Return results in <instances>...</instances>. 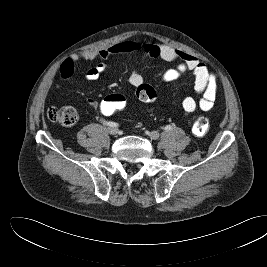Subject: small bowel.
Instances as JSON below:
<instances>
[{
  "mask_svg": "<svg viewBox=\"0 0 267 267\" xmlns=\"http://www.w3.org/2000/svg\"><path fill=\"white\" fill-rule=\"evenodd\" d=\"M144 55L151 58H161L168 62L178 61L175 68L167 69L162 74V80L170 83L178 80L183 74L191 72L194 75V92L200 98L197 101L194 97H185L182 101V108L185 115H190L197 108L206 112L213 108L217 96V76L210 71L205 64L201 63L194 56L174 49L163 43H141L138 41L126 40L114 44L102 50L84 51L74 54L63 61L59 68L62 80L71 78L75 70V63L81 59L95 62V64L85 72V79L95 81L108 71V65L104 60L116 55ZM130 83L138 87L144 83V76L134 70L130 75ZM57 85V89H59ZM88 104L97 109L99 102L95 99H88Z\"/></svg>",
  "mask_w": 267,
  "mask_h": 267,
  "instance_id": "obj_1",
  "label": "small bowel"
}]
</instances>
